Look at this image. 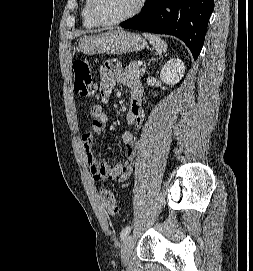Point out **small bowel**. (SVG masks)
Listing matches in <instances>:
<instances>
[{"instance_id":"c3829d8e","label":"small bowel","mask_w":253,"mask_h":271,"mask_svg":"<svg viewBox=\"0 0 253 271\" xmlns=\"http://www.w3.org/2000/svg\"><path fill=\"white\" fill-rule=\"evenodd\" d=\"M119 83L130 89V108L126 114V122L130 127L140 128L144 122V110L142 108L143 88L140 81L131 74L122 71L118 61L109 60L100 69L99 94L101 104L93 105L90 109L92 122L89 129L81 135V145L86 154L87 164L92 178L95 181L116 180L126 181L132 174L135 164L136 138L132 131L122 134V141L127 147V155L123 163L110 165L100 163L95 158L92 149L96 135L102 133L109 114L104 109L113 92L115 85Z\"/></svg>"}]
</instances>
